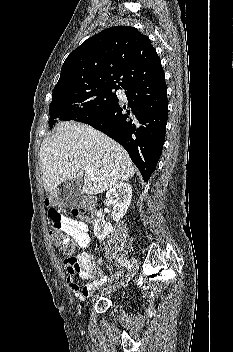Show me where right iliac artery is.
Wrapping results in <instances>:
<instances>
[{
  "label": "right iliac artery",
  "mask_w": 233,
  "mask_h": 352,
  "mask_svg": "<svg viewBox=\"0 0 233 352\" xmlns=\"http://www.w3.org/2000/svg\"><path fill=\"white\" fill-rule=\"evenodd\" d=\"M118 262L120 264H122L124 267H126L129 271H131L132 269V265L130 263V261L127 259V258H123V257H119L118 259Z\"/></svg>",
  "instance_id": "obj_1"
}]
</instances>
